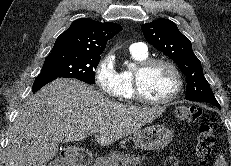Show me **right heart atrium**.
I'll return each instance as SVG.
<instances>
[{"mask_svg":"<svg viewBox=\"0 0 231 166\" xmlns=\"http://www.w3.org/2000/svg\"><path fill=\"white\" fill-rule=\"evenodd\" d=\"M94 78L99 90L110 99H118L123 95L120 72L116 68L112 51L105 53L98 61Z\"/></svg>","mask_w":231,"mask_h":166,"instance_id":"1","label":"right heart atrium"}]
</instances>
